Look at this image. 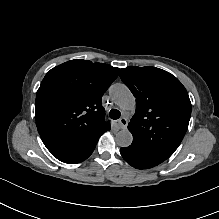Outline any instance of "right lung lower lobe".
I'll return each instance as SVG.
<instances>
[{
	"instance_id": "obj_1",
	"label": "right lung lower lobe",
	"mask_w": 219,
	"mask_h": 219,
	"mask_svg": "<svg viewBox=\"0 0 219 219\" xmlns=\"http://www.w3.org/2000/svg\"><path fill=\"white\" fill-rule=\"evenodd\" d=\"M97 142L98 140L94 144L82 148L53 149L49 151L55 158L64 163L76 164L84 161L92 154Z\"/></svg>"
}]
</instances>
